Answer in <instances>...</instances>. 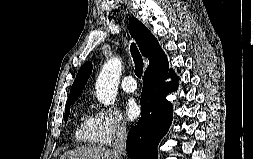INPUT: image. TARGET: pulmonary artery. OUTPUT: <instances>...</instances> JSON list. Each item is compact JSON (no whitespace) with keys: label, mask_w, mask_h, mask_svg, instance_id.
<instances>
[{"label":"pulmonary artery","mask_w":253,"mask_h":159,"mask_svg":"<svg viewBox=\"0 0 253 159\" xmlns=\"http://www.w3.org/2000/svg\"><path fill=\"white\" fill-rule=\"evenodd\" d=\"M121 88L127 93L135 92L137 89V84L135 83L134 77L131 75H126L121 81Z\"/></svg>","instance_id":"obj_1"}]
</instances>
